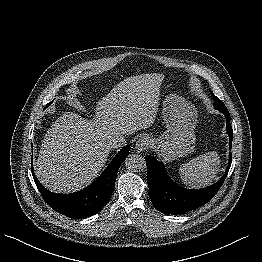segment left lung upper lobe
Instances as JSON below:
<instances>
[{"label":"left lung upper lobe","mask_w":262,"mask_h":262,"mask_svg":"<svg viewBox=\"0 0 262 262\" xmlns=\"http://www.w3.org/2000/svg\"><path fill=\"white\" fill-rule=\"evenodd\" d=\"M213 98H214V107L217 109H225L227 110V108L225 107V105L222 103V101L220 99H218L213 92H211Z\"/></svg>","instance_id":"obj_1"}]
</instances>
